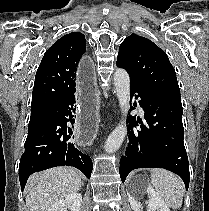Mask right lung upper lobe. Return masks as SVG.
Listing matches in <instances>:
<instances>
[{
  "label": "right lung upper lobe",
  "instance_id": "1",
  "mask_svg": "<svg viewBox=\"0 0 209 211\" xmlns=\"http://www.w3.org/2000/svg\"><path fill=\"white\" fill-rule=\"evenodd\" d=\"M85 48V36L73 32L46 51L35 76L31 112L47 110L75 93L76 71Z\"/></svg>",
  "mask_w": 209,
  "mask_h": 211
}]
</instances>
